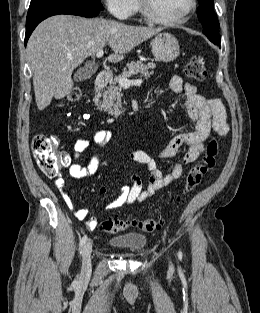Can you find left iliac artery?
I'll use <instances>...</instances> for the list:
<instances>
[{
  "label": "left iliac artery",
  "mask_w": 260,
  "mask_h": 313,
  "mask_svg": "<svg viewBox=\"0 0 260 313\" xmlns=\"http://www.w3.org/2000/svg\"><path fill=\"white\" fill-rule=\"evenodd\" d=\"M178 256H179V258L181 259V258H182V253L179 252V253H178Z\"/></svg>",
  "instance_id": "44dca946"
}]
</instances>
